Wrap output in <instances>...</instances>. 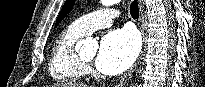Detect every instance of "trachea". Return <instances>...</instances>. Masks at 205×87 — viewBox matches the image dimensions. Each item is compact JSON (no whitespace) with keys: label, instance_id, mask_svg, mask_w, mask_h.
Segmentation results:
<instances>
[{"label":"trachea","instance_id":"obj_1","mask_svg":"<svg viewBox=\"0 0 205 87\" xmlns=\"http://www.w3.org/2000/svg\"><path fill=\"white\" fill-rule=\"evenodd\" d=\"M130 14L134 19H138L139 7L138 2L136 0H134L130 5Z\"/></svg>","mask_w":205,"mask_h":87}]
</instances>
